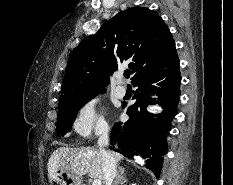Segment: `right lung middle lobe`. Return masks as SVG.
<instances>
[{"mask_svg":"<svg viewBox=\"0 0 233 185\" xmlns=\"http://www.w3.org/2000/svg\"><path fill=\"white\" fill-rule=\"evenodd\" d=\"M99 93L102 92L95 93L82 100L68 102L59 105L57 123L61 135L66 134L70 130V127L72 126V123L75 120L76 114L79 111L80 107H82L86 102H88L90 99H92Z\"/></svg>","mask_w":233,"mask_h":185,"instance_id":"obj_1","label":"right lung middle lobe"}]
</instances>
